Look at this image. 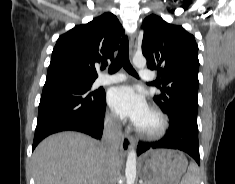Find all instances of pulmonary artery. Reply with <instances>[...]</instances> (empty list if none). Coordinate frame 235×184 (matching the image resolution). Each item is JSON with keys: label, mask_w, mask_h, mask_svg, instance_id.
<instances>
[{"label": "pulmonary artery", "mask_w": 235, "mask_h": 184, "mask_svg": "<svg viewBox=\"0 0 235 184\" xmlns=\"http://www.w3.org/2000/svg\"><path fill=\"white\" fill-rule=\"evenodd\" d=\"M139 74L146 78H150V69H139ZM127 75L123 73H116L112 75H101L97 78L95 85L96 86H107L112 84H117L121 82H125L127 80Z\"/></svg>", "instance_id": "pulmonary-artery-1"}]
</instances>
